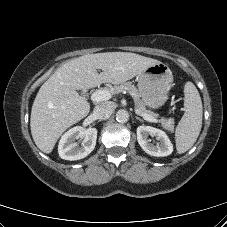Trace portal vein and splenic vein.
I'll use <instances>...</instances> for the list:
<instances>
[{
    "label": "portal vein and splenic vein",
    "instance_id": "obj_1",
    "mask_svg": "<svg viewBox=\"0 0 227 227\" xmlns=\"http://www.w3.org/2000/svg\"><path fill=\"white\" fill-rule=\"evenodd\" d=\"M112 97V94L109 90L107 89H102V90H98L96 92H94L92 95H91V100L94 101V102H100V101H105V100H109L110 98ZM137 113L138 110H136ZM141 116L146 120V121H149V122H158V120L150 115H147V114H141Z\"/></svg>",
    "mask_w": 227,
    "mask_h": 227
}]
</instances>
